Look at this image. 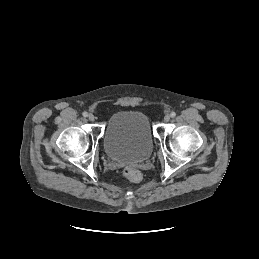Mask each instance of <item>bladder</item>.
Wrapping results in <instances>:
<instances>
[{
    "label": "bladder",
    "mask_w": 259,
    "mask_h": 259,
    "mask_svg": "<svg viewBox=\"0 0 259 259\" xmlns=\"http://www.w3.org/2000/svg\"><path fill=\"white\" fill-rule=\"evenodd\" d=\"M103 146L107 156L120 162H141L153 149V133L148 116L140 111L112 114L105 127Z\"/></svg>",
    "instance_id": "bladder-1"
}]
</instances>
